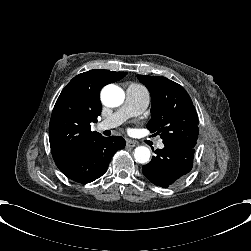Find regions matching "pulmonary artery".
<instances>
[{
    "mask_svg": "<svg viewBox=\"0 0 251 251\" xmlns=\"http://www.w3.org/2000/svg\"><path fill=\"white\" fill-rule=\"evenodd\" d=\"M149 99L146 92L136 83H131L126 88V99L124 105L116 112L99 122L97 131H105L120 126L128 118L140 115L148 106ZM158 148H163L164 144L159 141Z\"/></svg>",
    "mask_w": 251,
    "mask_h": 251,
    "instance_id": "pulmonary-artery-1",
    "label": "pulmonary artery"
}]
</instances>
